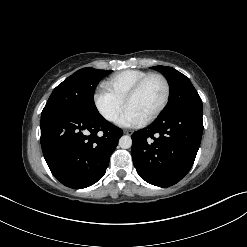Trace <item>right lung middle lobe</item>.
<instances>
[{"mask_svg": "<svg viewBox=\"0 0 247 247\" xmlns=\"http://www.w3.org/2000/svg\"><path fill=\"white\" fill-rule=\"evenodd\" d=\"M111 72L90 67L76 71L53 90L42 113L64 109L87 115L98 114L94 91L98 82Z\"/></svg>", "mask_w": 247, "mask_h": 247, "instance_id": "dd1d6c3e", "label": "right lung middle lobe"}]
</instances>
